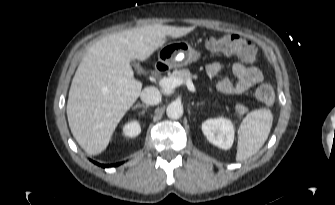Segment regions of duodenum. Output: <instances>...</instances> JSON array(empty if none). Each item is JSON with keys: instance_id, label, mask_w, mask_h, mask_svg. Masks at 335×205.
I'll list each match as a JSON object with an SVG mask.
<instances>
[{"instance_id": "410a0bca", "label": "duodenum", "mask_w": 335, "mask_h": 205, "mask_svg": "<svg viewBox=\"0 0 335 205\" xmlns=\"http://www.w3.org/2000/svg\"><path fill=\"white\" fill-rule=\"evenodd\" d=\"M155 68H156L157 73L161 74V73H164V72L167 71L168 66H167L166 62L159 61V62L156 63Z\"/></svg>"}]
</instances>
